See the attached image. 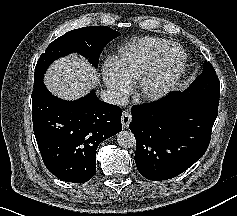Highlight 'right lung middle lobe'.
Segmentation results:
<instances>
[{"label": "right lung middle lobe", "instance_id": "right-lung-middle-lobe-1", "mask_svg": "<svg viewBox=\"0 0 237 216\" xmlns=\"http://www.w3.org/2000/svg\"><path fill=\"white\" fill-rule=\"evenodd\" d=\"M120 33L107 26L82 27L71 30L54 40L41 54L34 73V87L43 81L48 66L56 59L77 52L98 66L99 56L108 42Z\"/></svg>", "mask_w": 237, "mask_h": 216}]
</instances>
